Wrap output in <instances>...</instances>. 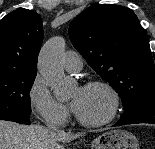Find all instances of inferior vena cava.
Instances as JSON below:
<instances>
[{
  "label": "inferior vena cava",
  "instance_id": "inferior-vena-cava-1",
  "mask_svg": "<svg viewBox=\"0 0 155 149\" xmlns=\"http://www.w3.org/2000/svg\"><path fill=\"white\" fill-rule=\"evenodd\" d=\"M46 126L52 132L60 131L59 125L56 122H54V121H48L47 120L46 121Z\"/></svg>",
  "mask_w": 155,
  "mask_h": 149
}]
</instances>
